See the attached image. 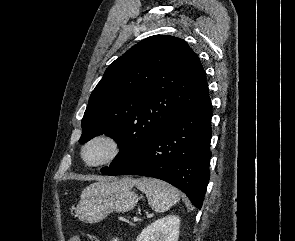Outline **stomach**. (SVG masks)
Instances as JSON below:
<instances>
[{
  "label": "stomach",
  "instance_id": "obj_1",
  "mask_svg": "<svg viewBox=\"0 0 295 241\" xmlns=\"http://www.w3.org/2000/svg\"><path fill=\"white\" fill-rule=\"evenodd\" d=\"M126 179L97 182L87 187L75 209L78 218L86 223H97L112 212L133 209L138 197L132 192L133 185L128 184Z\"/></svg>",
  "mask_w": 295,
  "mask_h": 241
}]
</instances>
